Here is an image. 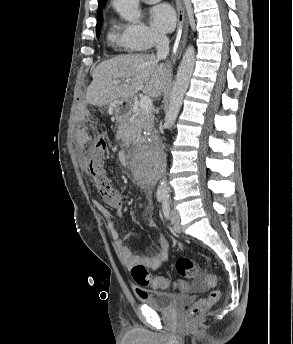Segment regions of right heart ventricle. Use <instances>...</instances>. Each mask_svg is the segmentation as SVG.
<instances>
[{
	"instance_id": "e07e8e85",
	"label": "right heart ventricle",
	"mask_w": 293,
	"mask_h": 344,
	"mask_svg": "<svg viewBox=\"0 0 293 344\" xmlns=\"http://www.w3.org/2000/svg\"><path fill=\"white\" fill-rule=\"evenodd\" d=\"M107 38L109 40L110 43L120 47V48H124L123 44H122V41H121V38H120V35L117 34L114 26H111L110 29L108 30V33H107Z\"/></svg>"
}]
</instances>
